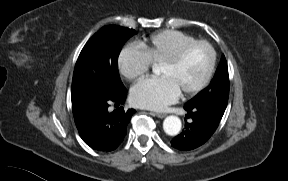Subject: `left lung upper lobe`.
<instances>
[{
  "label": "left lung upper lobe",
  "mask_w": 288,
  "mask_h": 181,
  "mask_svg": "<svg viewBox=\"0 0 288 181\" xmlns=\"http://www.w3.org/2000/svg\"><path fill=\"white\" fill-rule=\"evenodd\" d=\"M228 66L223 55L209 86L186 103V106H205L224 114L229 97Z\"/></svg>",
  "instance_id": "1"
}]
</instances>
